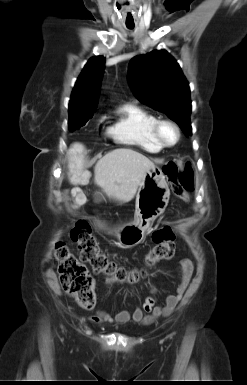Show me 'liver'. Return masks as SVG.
<instances>
[{
  "label": "liver",
  "instance_id": "6515ba94",
  "mask_svg": "<svg viewBox=\"0 0 247 385\" xmlns=\"http://www.w3.org/2000/svg\"><path fill=\"white\" fill-rule=\"evenodd\" d=\"M85 149L74 143L68 151L69 182L75 186L72 196L78 208L86 202V196L78 185H87L91 173L85 169ZM154 166L143 154L132 149L119 148L108 152L98 160L94 168V182L109 197L120 203L131 201L145 173Z\"/></svg>",
  "mask_w": 247,
  "mask_h": 385
}]
</instances>
